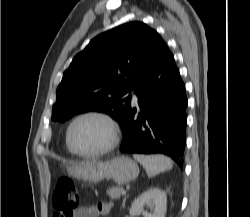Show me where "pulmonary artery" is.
I'll return each instance as SVG.
<instances>
[{"label":"pulmonary artery","mask_w":250,"mask_h":217,"mask_svg":"<svg viewBox=\"0 0 250 217\" xmlns=\"http://www.w3.org/2000/svg\"><path fill=\"white\" fill-rule=\"evenodd\" d=\"M130 94L132 95L133 102H137V96L133 92H130Z\"/></svg>","instance_id":"1"}]
</instances>
